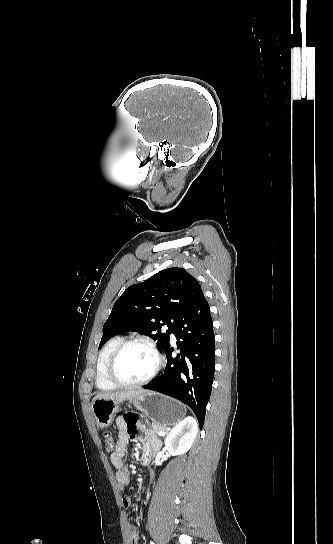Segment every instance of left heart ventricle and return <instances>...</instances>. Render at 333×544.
<instances>
[{
	"mask_svg": "<svg viewBox=\"0 0 333 544\" xmlns=\"http://www.w3.org/2000/svg\"><path fill=\"white\" fill-rule=\"evenodd\" d=\"M155 357L150 350L141 345H132L121 354L116 373L125 382L140 381L152 372Z\"/></svg>",
	"mask_w": 333,
	"mask_h": 544,
	"instance_id": "left-heart-ventricle-1",
	"label": "left heart ventricle"
}]
</instances>
